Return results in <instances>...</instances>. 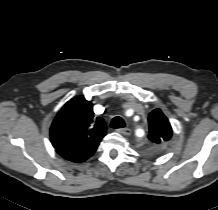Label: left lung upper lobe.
Masks as SVG:
<instances>
[{
    "instance_id": "1",
    "label": "left lung upper lobe",
    "mask_w": 218,
    "mask_h": 210,
    "mask_svg": "<svg viewBox=\"0 0 218 210\" xmlns=\"http://www.w3.org/2000/svg\"><path fill=\"white\" fill-rule=\"evenodd\" d=\"M149 136L154 144L164 143L172 136V128L167 117L160 109H155L149 114Z\"/></svg>"
}]
</instances>
